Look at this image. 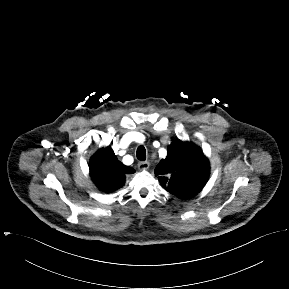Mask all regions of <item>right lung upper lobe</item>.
Here are the masks:
<instances>
[{
    "label": "right lung upper lobe",
    "mask_w": 289,
    "mask_h": 289,
    "mask_svg": "<svg viewBox=\"0 0 289 289\" xmlns=\"http://www.w3.org/2000/svg\"><path fill=\"white\" fill-rule=\"evenodd\" d=\"M135 172L120 162L110 147L100 149L90 162V175L103 191L110 192L123 186L125 175Z\"/></svg>",
    "instance_id": "right-lung-upper-lobe-1"
}]
</instances>
